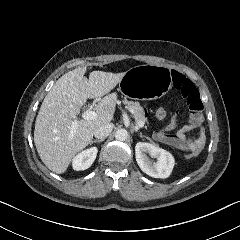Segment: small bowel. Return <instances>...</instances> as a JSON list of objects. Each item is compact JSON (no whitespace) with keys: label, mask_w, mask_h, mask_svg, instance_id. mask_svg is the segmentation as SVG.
<instances>
[{"label":"small bowel","mask_w":240,"mask_h":240,"mask_svg":"<svg viewBox=\"0 0 240 240\" xmlns=\"http://www.w3.org/2000/svg\"><path fill=\"white\" fill-rule=\"evenodd\" d=\"M180 120L179 116H175L163 128L153 132V138L157 142L173 146L182 151H185L190 146H197L201 150L205 144V129L201 125H193L189 121L176 132H172ZM191 133H196L197 136H190Z\"/></svg>","instance_id":"small-bowel-1"}]
</instances>
